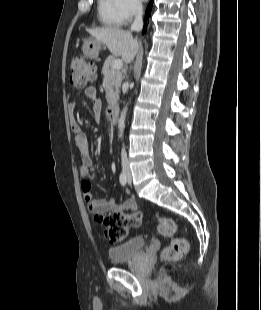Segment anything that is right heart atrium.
<instances>
[{
	"mask_svg": "<svg viewBox=\"0 0 261 310\" xmlns=\"http://www.w3.org/2000/svg\"><path fill=\"white\" fill-rule=\"evenodd\" d=\"M117 12L123 24H127L142 12L140 0H116Z\"/></svg>",
	"mask_w": 261,
	"mask_h": 310,
	"instance_id": "obj_1",
	"label": "right heart atrium"
}]
</instances>
